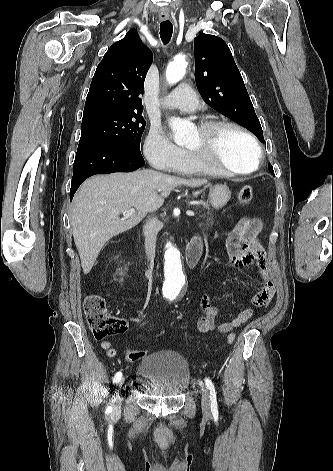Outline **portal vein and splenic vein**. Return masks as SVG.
I'll use <instances>...</instances> for the list:
<instances>
[{
    "instance_id": "1",
    "label": "portal vein and splenic vein",
    "mask_w": 333,
    "mask_h": 471,
    "mask_svg": "<svg viewBox=\"0 0 333 471\" xmlns=\"http://www.w3.org/2000/svg\"><path fill=\"white\" fill-rule=\"evenodd\" d=\"M122 213H123L124 216L129 217V216H131V215H133V214L135 213V209H134V208H131V209H128V210L123 211ZM186 214H187V216H190V217L195 216V213H194L193 211H191V210H188V211L186 212Z\"/></svg>"
}]
</instances>
